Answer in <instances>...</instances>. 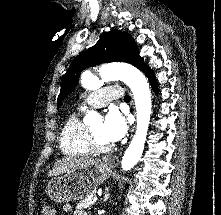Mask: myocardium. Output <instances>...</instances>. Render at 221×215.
Returning <instances> with one entry per match:
<instances>
[{
	"label": "myocardium",
	"instance_id": "myocardium-1",
	"mask_svg": "<svg viewBox=\"0 0 221 215\" xmlns=\"http://www.w3.org/2000/svg\"><path fill=\"white\" fill-rule=\"evenodd\" d=\"M88 142L90 149L94 152L104 153L112 149V146L109 144H101L95 137L91 128H88Z\"/></svg>",
	"mask_w": 221,
	"mask_h": 215
}]
</instances>
